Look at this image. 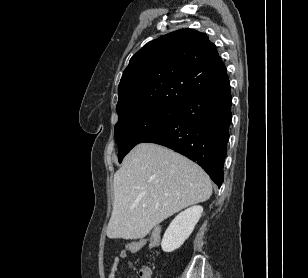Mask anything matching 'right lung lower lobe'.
I'll return each mask as SVG.
<instances>
[{
	"mask_svg": "<svg viewBox=\"0 0 308 278\" xmlns=\"http://www.w3.org/2000/svg\"><path fill=\"white\" fill-rule=\"evenodd\" d=\"M230 82L181 104L174 120L143 142L160 144L196 161L221 186L229 139Z\"/></svg>",
	"mask_w": 308,
	"mask_h": 278,
	"instance_id": "obj_1",
	"label": "right lung lower lobe"
}]
</instances>
